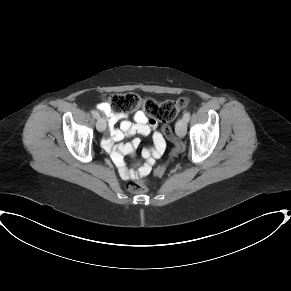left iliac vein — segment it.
Listing matches in <instances>:
<instances>
[{"instance_id": "obj_1", "label": "left iliac vein", "mask_w": 291, "mask_h": 291, "mask_svg": "<svg viewBox=\"0 0 291 291\" xmlns=\"http://www.w3.org/2000/svg\"><path fill=\"white\" fill-rule=\"evenodd\" d=\"M186 121L183 119H179L176 123L175 131L176 134L183 138L186 135Z\"/></svg>"}]
</instances>
